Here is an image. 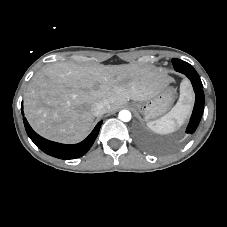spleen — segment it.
<instances>
[{
  "mask_svg": "<svg viewBox=\"0 0 227 227\" xmlns=\"http://www.w3.org/2000/svg\"><path fill=\"white\" fill-rule=\"evenodd\" d=\"M191 97L185 86L182 87L180 98L176 105L166 115L160 119L150 121L147 126L158 134H168L174 132L182 125L189 113V101Z\"/></svg>",
  "mask_w": 227,
  "mask_h": 227,
  "instance_id": "spleen-1",
  "label": "spleen"
}]
</instances>
